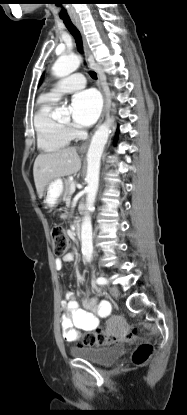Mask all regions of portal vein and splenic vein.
Masks as SVG:
<instances>
[{
  "label": "portal vein and splenic vein",
  "instance_id": "1",
  "mask_svg": "<svg viewBox=\"0 0 187 415\" xmlns=\"http://www.w3.org/2000/svg\"><path fill=\"white\" fill-rule=\"evenodd\" d=\"M75 189H76V183H75V182H73V183L71 184V187H70L71 193H74V192H75Z\"/></svg>",
  "mask_w": 187,
  "mask_h": 415
}]
</instances>
